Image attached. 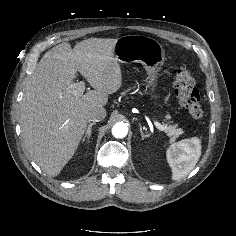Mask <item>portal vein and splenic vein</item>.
<instances>
[{
    "label": "portal vein and splenic vein",
    "instance_id": "1",
    "mask_svg": "<svg viewBox=\"0 0 236 236\" xmlns=\"http://www.w3.org/2000/svg\"><path fill=\"white\" fill-rule=\"evenodd\" d=\"M85 90V83L83 81H80L78 83L71 84L68 88L67 91L77 97H80L83 95ZM156 128H158L161 131H164L166 129L165 126L160 124L159 122H154Z\"/></svg>",
    "mask_w": 236,
    "mask_h": 236
}]
</instances>
